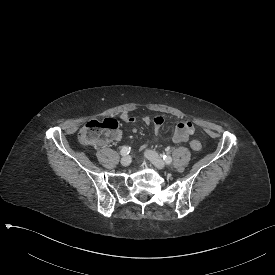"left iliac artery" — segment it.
Returning a JSON list of instances; mask_svg holds the SVG:
<instances>
[{"label": "left iliac artery", "mask_w": 275, "mask_h": 275, "mask_svg": "<svg viewBox=\"0 0 275 275\" xmlns=\"http://www.w3.org/2000/svg\"><path fill=\"white\" fill-rule=\"evenodd\" d=\"M163 160L165 163L170 164L172 162V158L170 155H163Z\"/></svg>", "instance_id": "left-iliac-artery-1"}]
</instances>
